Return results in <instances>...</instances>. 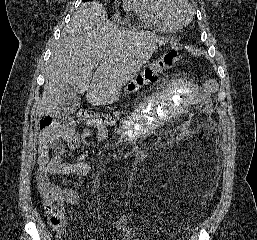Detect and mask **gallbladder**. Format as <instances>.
<instances>
[{
  "instance_id": "bac80fb5",
  "label": "gallbladder",
  "mask_w": 257,
  "mask_h": 240,
  "mask_svg": "<svg viewBox=\"0 0 257 240\" xmlns=\"http://www.w3.org/2000/svg\"><path fill=\"white\" fill-rule=\"evenodd\" d=\"M80 104V96L74 92L71 85L67 84L56 110L59 115H70L79 108Z\"/></svg>"
}]
</instances>
